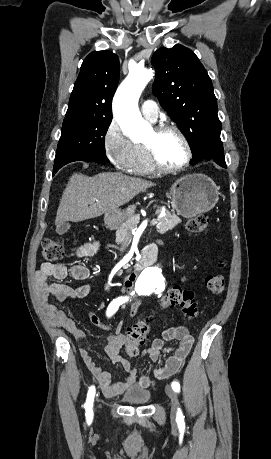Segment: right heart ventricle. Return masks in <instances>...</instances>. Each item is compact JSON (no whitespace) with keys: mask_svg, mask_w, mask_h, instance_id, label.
<instances>
[{"mask_svg":"<svg viewBox=\"0 0 271 459\" xmlns=\"http://www.w3.org/2000/svg\"><path fill=\"white\" fill-rule=\"evenodd\" d=\"M125 169L135 174H149L156 170L144 143H131V153Z\"/></svg>","mask_w":271,"mask_h":459,"instance_id":"e07e8e85","label":"right heart ventricle"}]
</instances>
